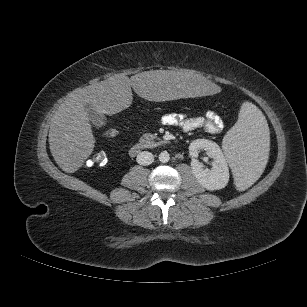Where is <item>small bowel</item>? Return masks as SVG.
I'll return each instance as SVG.
<instances>
[{"label":"small bowel","mask_w":307,"mask_h":307,"mask_svg":"<svg viewBox=\"0 0 307 307\" xmlns=\"http://www.w3.org/2000/svg\"><path fill=\"white\" fill-rule=\"evenodd\" d=\"M158 122L165 126L178 127L183 131L202 128L212 134H217L224 128L223 119L213 111H207L204 116L197 117H188L179 113H167L162 115Z\"/></svg>","instance_id":"small-bowel-1"}]
</instances>
